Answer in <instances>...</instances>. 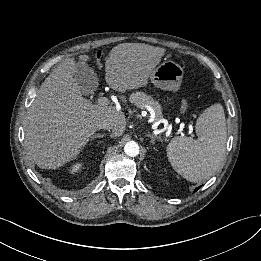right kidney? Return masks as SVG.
Masks as SVG:
<instances>
[{"instance_id":"ca27d5eb","label":"right kidney","mask_w":261,"mask_h":261,"mask_svg":"<svg viewBox=\"0 0 261 261\" xmlns=\"http://www.w3.org/2000/svg\"><path fill=\"white\" fill-rule=\"evenodd\" d=\"M81 168H82V163L77 162V163L73 164V165L70 167V172H71L72 174H74V173L80 171Z\"/></svg>"}]
</instances>
